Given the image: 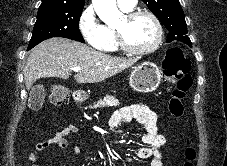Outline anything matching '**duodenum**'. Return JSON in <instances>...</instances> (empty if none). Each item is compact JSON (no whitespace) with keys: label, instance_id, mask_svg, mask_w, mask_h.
Wrapping results in <instances>:
<instances>
[{"label":"duodenum","instance_id":"410a0bca","mask_svg":"<svg viewBox=\"0 0 227 166\" xmlns=\"http://www.w3.org/2000/svg\"><path fill=\"white\" fill-rule=\"evenodd\" d=\"M74 97L76 101H81L82 97L79 91H74Z\"/></svg>","mask_w":227,"mask_h":166}]
</instances>
